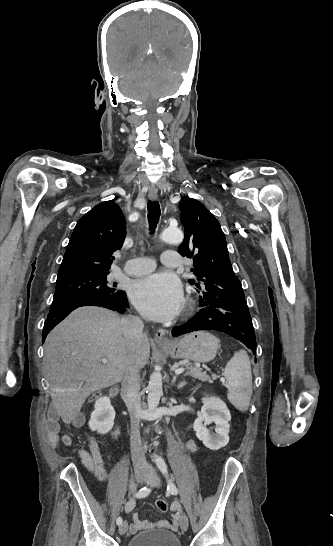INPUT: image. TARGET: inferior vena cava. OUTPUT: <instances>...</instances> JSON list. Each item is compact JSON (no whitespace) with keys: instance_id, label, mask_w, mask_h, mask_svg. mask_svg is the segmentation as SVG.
<instances>
[{"instance_id":"obj_1","label":"inferior vena cava","mask_w":333,"mask_h":546,"mask_svg":"<svg viewBox=\"0 0 333 546\" xmlns=\"http://www.w3.org/2000/svg\"><path fill=\"white\" fill-rule=\"evenodd\" d=\"M120 323L125 339L130 342L132 347H137L144 335L142 320L138 317L128 316L122 318ZM121 392L131 420L130 444L134 468L147 467L148 464L139 431V422L143 411L140 397V373L137 367L133 366L127 370L122 382Z\"/></svg>"}]
</instances>
